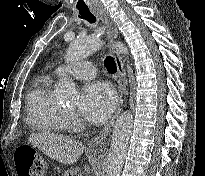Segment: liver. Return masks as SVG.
<instances>
[{"label":"liver","mask_w":205,"mask_h":176,"mask_svg":"<svg viewBox=\"0 0 205 176\" xmlns=\"http://www.w3.org/2000/svg\"><path fill=\"white\" fill-rule=\"evenodd\" d=\"M29 142L50 158L65 165L76 163L83 153V146L79 141L56 134H32Z\"/></svg>","instance_id":"1"}]
</instances>
